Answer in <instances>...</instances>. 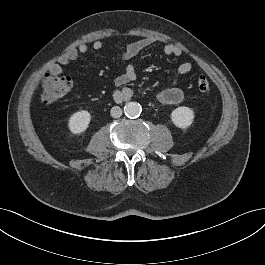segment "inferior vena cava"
<instances>
[{"label": "inferior vena cava", "mask_w": 265, "mask_h": 265, "mask_svg": "<svg viewBox=\"0 0 265 265\" xmlns=\"http://www.w3.org/2000/svg\"><path fill=\"white\" fill-rule=\"evenodd\" d=\"M110 114L113 118H119L122 115V109L119 106L111 108Z\"/></svg>", "instance_id": "1"}]
</instances>
